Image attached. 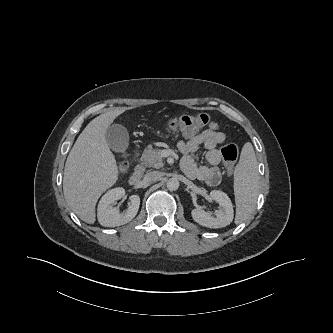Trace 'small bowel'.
<instances>
[{
  "label": "small bowel",
  "mask_w": 333,
  "mask_h": 333,
  "mask_svg": "<svg viewBox=\"0 0 333 333\" xmlns=\"http://www.w3.org/2000/svg\"><path fill=\"white\" fill-rule=\"evenodd\" d=\"M225 134L220 130L216 122H211L207 129L199 134L188 136L186 140H180L178 149L183 154L181 167L184 173L192 178L205 182L209 186H217L221 182L219 164L221 154L217 145L225 140ZM203 146L208 151L206 160L208 165H198L197 151Z\"/></svg>",
  "instance_id": "1"
}]
</instances>
